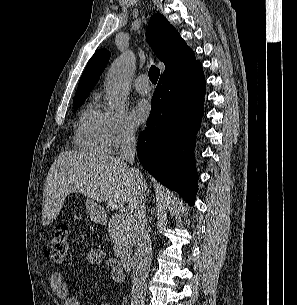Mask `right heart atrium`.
Instances as JSON below:
<instances>
[{
  "instance_id": "d8ad5b80",
  "label": "right heart atrium",
  "mask_w": 297,
  "mask_h": 305,
  "mask_svg": "<svg viewBox=\"0 0 297 305\" xmlns=\"http://www.w3.org/2000/svg\"><path fill=\"white\" fill-rule=\"evenodd\" d=\"M107 130L110 146L116 151L127 147L137 138L136 127L126 114L108 113Z\"/></svg>"
}]
</instances>
